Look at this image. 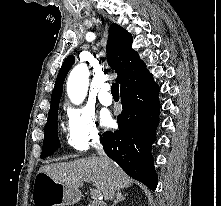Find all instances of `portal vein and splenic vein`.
<instances>
[{
  "label": "portal vein and splenic vein",
  "mask_w": 221,
  "mask_h": 206,
  "mask_svg": "<svg viewBox=\"0 0 221 206\" xmlns=\"http://www.w3.org/2000/svg\"><path fill=\"white\" fill-rule=\"evenodd\" d=\"M91 194H92L93 199H101L102 198L100 191L95 190V191H92Z\"/></svg>",
  "instance_id": "obj_1"
}]
</instances>
